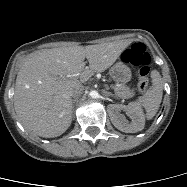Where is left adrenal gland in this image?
<instances>
[{
  "label": "left adrenal gland",
  "instance_id": "1",
  "mask_svg": "<svg viewBox=\"0 0 187 187\" xmlns=\"http://www.w3.org/2000/svg\"><path fill=\"white\" fill-rule=\"evenodd\" d=\"M104 95L107 96V97H108V96H111V97L117 98L114 94H112V93H110V92H107V91H105V90H104Z\"/></svg>",
  "mask_w": 187,
  "mask_h": 187
}]
</instances>
